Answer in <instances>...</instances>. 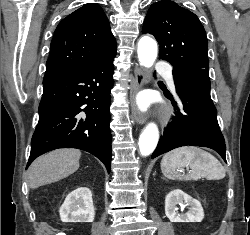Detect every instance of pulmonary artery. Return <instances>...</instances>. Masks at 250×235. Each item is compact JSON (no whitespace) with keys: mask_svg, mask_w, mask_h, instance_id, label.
I'll use <instances>...</instances> for the list:
<instances>
[{"mask_svg":"<svg viewBox=\"0 0 250 235\" xmlns=\"http://www.w3.org/2000/svg\"><path fill=\"white\" fill-rule=\"evenodd\" d=\"M156 71L159 73H163L170 87L174 88V80H173L172 72L170 69L167 68V66L159 65L156 67Z\"/></svg>","mask_w":250,"mask_h":235,"instance_id":"obj_1","label":"pulmonary artery"}]
</instances>
